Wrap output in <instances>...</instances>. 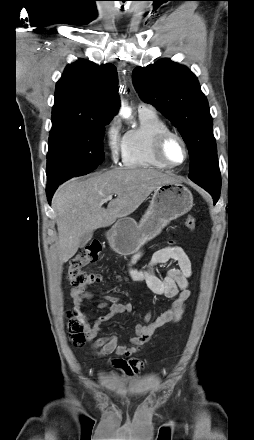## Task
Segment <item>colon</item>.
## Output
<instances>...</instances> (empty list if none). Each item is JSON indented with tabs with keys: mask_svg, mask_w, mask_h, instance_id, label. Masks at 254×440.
<instances>
[{
	"mask_svg": "<svg viewBox=\"0 0 254 440\" xmlns=\"http://www.w3.org/2000/svg\"><path fill=\"white\" fill-rule=\"evenodd\" d=\"M196 226V219L193 215H187L184 219V227L193 230ZM102 246L99 242H92L81 248L72 258L68 270V280L73 286H89L99 281V275L88 272L84 268L98 260L101 255ZM67 331L70 340L75 346H82L86 340L85 322L76 315L70 313L67 322Z\"/></svg>",
	"mask_w": 254,
	"mask_h": 440,
	"instance_id": "5ec220e1",
	"label": "colon"
}]
</instances>
